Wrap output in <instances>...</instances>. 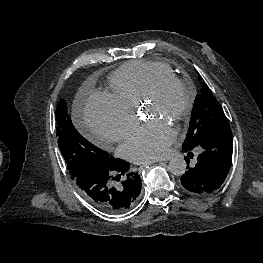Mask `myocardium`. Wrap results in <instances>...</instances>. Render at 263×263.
<instances>
[{
	"label": "myocardium",
	"mask_w": 263,
	"mask_h": 263,
	"mask_svg": "<svg viewBox=\"0 0 263 263\" xmlns=\"http://www.w3.org/2000/svg\"><path fill=\"white\" fill-rule=\"evenodd\" d=\"M173 86L179 88L185 94L186 98L183 108L176 114L173 121L175 123H180L186 120L192 113L196 101V91L189 82L176 75H164L159 77L147 90L141 103L146 104L158 99L166 89Z\"/></svg>",
	"instance_id": "myocardium-1"
}]
</instances>
